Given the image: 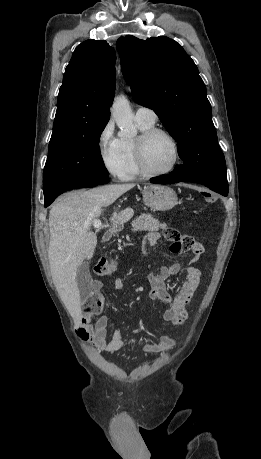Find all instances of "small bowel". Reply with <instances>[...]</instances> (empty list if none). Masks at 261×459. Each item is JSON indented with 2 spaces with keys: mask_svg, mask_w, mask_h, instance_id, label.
Listing matches in <instances>:
<instances>
[{
  "mask_svg": "<svg viewBox=\"0 0 261 459\" xmlns=\"http://www.w3.org/2000/svg\"><path fill=\"white\" fill-rule=\"evenodd\" d=\"M171 230L173 231V236L167 238L170 241V251L173 254L191 251L193 256L186 268L185 280L178 288L174 298L164 279L180 272L181 263L179 261H174L169 265L160 267L150 276V294L154 300L166 305V309L162 315L163 319L172 323L174 326H181L188 319V305L192 295L199 286L201 273L195 264L203 254V246L193 237L183 235L174 229ZM159 238V233H149V244L151 246L156 245ZM124 284L123 279H117L114 282V289L121 290ZM94 288L96 291L100 290L101 283L95 281ZM107 325L108 318L106 315L100 316L94 323L90 319L85 318L81 321L76 333L81 340L88 342L97 350L106 353H114L127 345L133 344L146 352L161 354L172 350L176 346V340L172 335H165L154 341L141 342L135 337L125 339L120 330H114L110 340L107 341Z\"/></svg>",
  "mask_w": 261,
  "mask_h": 459,
  "instance_id": "obj_1",
  "label": "small bowel"
}]
</instances>
